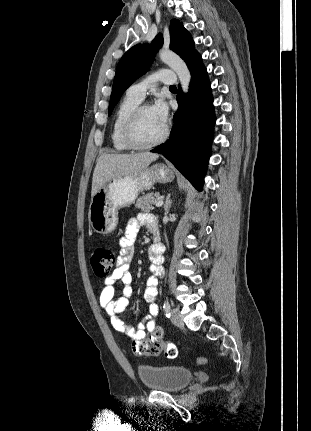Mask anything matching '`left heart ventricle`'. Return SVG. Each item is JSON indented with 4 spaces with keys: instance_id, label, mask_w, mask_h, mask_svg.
Segmentation results:
<instances>
[{
    "instance_id": "left-heart-ventricle-1",
    "label": "left heart ventricle",
    "mask_w": 311,
    "mask_h": 431,
    "mask_svg": "<svg viewBox=\"0 0 311 431\" xmlns=\"http://www.w3.org/2000/svg\"><path fill=\"white\" fill-rule=\"evenodd\" d=\"M163 126L154 113L151 107H147L139 124V135L145 141H152L159 138L164 132Z\"/></svg>"
}]
</instances>
